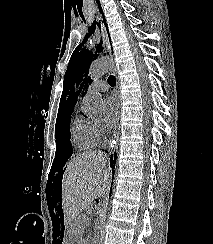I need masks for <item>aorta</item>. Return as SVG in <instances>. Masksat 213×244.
<instances>
[{
    "mask_svg": "<svg viewBox=\"0 0 213 244\" xmlns=\"http://www.w3.org/2000/svg\"><path fill=\"white\" fill-rule=\"evenodd\" d=\"M114 62L110 58H98L91 63L89 69V76L91 79H98L114 69ZM84 111L89 117L101 116L104 110V101L101 94L90 87L83 99ZM100 213H103V209H100Z\"/></svg>",
    "mask_w": 213,
    "mask_h": 244,
    "instance_id": "aorta-1",
    "label": "aorta"
}]
</instances>
